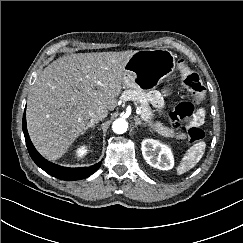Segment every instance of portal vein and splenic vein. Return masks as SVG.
<instances>
[{"label": "portal vein and splenic vein", "instance_id": "obj_1", "mask_svg": "<svg viewBox=\"0 0 243 243\" xmlns=\"http://www.w3.org/2000/svg\"><path fill=\"white\" fill-rule=\"evenodd\" d=\"M136 113H137L138 115L141 114V107H140V106H137V108H136Z\"/></svg>", "mask_w": 243, "mask_h": 243}]
</instances>
